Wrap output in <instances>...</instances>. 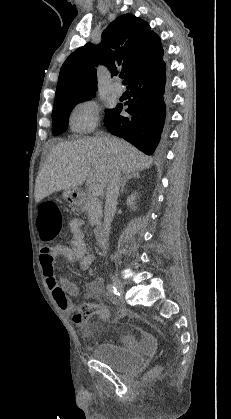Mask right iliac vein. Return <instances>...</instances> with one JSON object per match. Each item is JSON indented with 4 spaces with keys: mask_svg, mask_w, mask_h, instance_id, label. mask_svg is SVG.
Wrapping results in <instances>:
<instances>
[{
    "mask_svg": "<svg viewBox=\"0 0 231 419\" xmlns=\"http://www.w3.org/2000/svg\"><path fill=\"white\" fill-rule=\"evenodd\" d=\"M111 279H112L113 285L117 288V290L123 293L124 292L123 283L116 276H112Z\"/></svg>",
    "mask_w": 231,
    "mask_h": 419,
    "instance_id": "1",
    "label": "right iliac vein"
}]
</instances>
